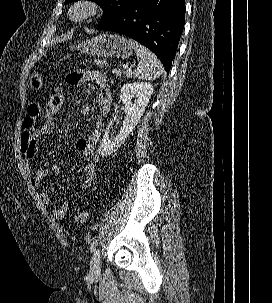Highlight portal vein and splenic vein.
<instances>
[{"instance_id":"18ae733b","label":"portal vein and splenic vein","mask_w":272,"mask_h":303,"mask_svg":"<svg viewBox=\"0 0 272 303\" xmlns=\"http://www.w3.org/2000/svg\"><path fill=\"white\" fill-rule=\"evenodd\" d=\"M124 69H128V64L123 65Z\"/></svg>"}]
</instances>
